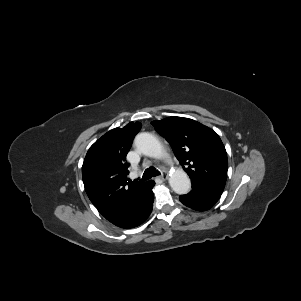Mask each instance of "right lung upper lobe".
<instances>
[{
    "mask_svg": "<svg viewBox=\"0 0 301 301\" xmlns=\"http://www.w3.org/2000/svg\"><path fill=\"white\" fill-rule=\"evenodd\" d=\"M141 123L130 122L103 135L88 150L82 166L85 191L98 211L117 225L131 212L146 183L127 182L126 155Z\"/></svg>",
    "mask_w": 301,
    "mask_h": 301,
    "instance_id": "obj_1",
    "label": "right lung upper lobe"
}]
</instances>
